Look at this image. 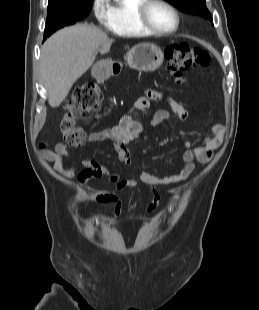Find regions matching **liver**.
I'll return each mask as SVG.
<instances>
[{"mask_svg":"<svg viewBox=\"0 0 259 310\" xmlns=\"http://www.w3.org/2000/svg\"><path fill=\"white\" fill-rule=\"evenodd\" d=\"M113 42L103 31L84 24L66 27L46 40L40 74L51 107L64 101L73 84L92 66L99 48L107 53Z\"/></svg>","mask_w":259,"mask_h":310,"instance_id":"obj_1","label":"liver"}]
</instances>
